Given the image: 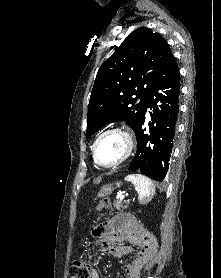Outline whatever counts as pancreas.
Listing matches in <instances>:
<instances>
[{
  "mask_svg": "<svg viewBox=\"0 0 221 278\" xmlns=\"http://www.w3.org/2000/svg\"><path fill=\"white\" fill-rule=\"evenodd\" d=\"M127 203H129V201H127ZM114 207L119 211H123L127 208V205H124L121 201H117L114 203Z\"/></svg>",
  "mask_w": 221,
  "mask_h": 278,
  "instance_id": "1",
  "label": "pancreas"
}]
</instances>
